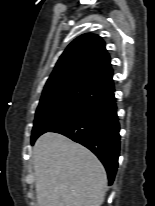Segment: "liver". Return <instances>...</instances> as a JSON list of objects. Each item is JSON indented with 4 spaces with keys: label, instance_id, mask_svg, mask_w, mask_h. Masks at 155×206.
<instances>
[{
    "label": "liver",
    "instance_id": "6515ba94",
    "mask_svg": "<svg viewBox=\"0 0 155 206\" xmlns=\"http://www.w3.org/2000/svg\"><path fill=\"white\" fill-rule=\"evenodd\" d=\"M38 206H101L107 174L84 146L57 133H45L33 147Z\"/></svg>",
    "mask_w": 155,
    "mask_h": 206
}]
</instances>
